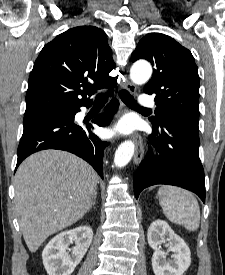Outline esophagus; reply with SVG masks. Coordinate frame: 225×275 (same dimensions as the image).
<instances>
[{"label": "esophagus", "instance_id": "34e87169", "mask_svg": "<svg viewBox=\"0 0 225 275\" xmlns=\"http://www.w3.org/2000/svg\"><path fill=\"white\" fill-rule=\"evenodd\" d=\"M124 87L130 91L131 93L136 92V87L133 83H131L128 79H126V82L124 84ZM135 142H136V151L134 154V163L139 164L142 160L143 157V152H144V144H143V139L139 135L134 136Z\"/></svg>", "mask_w": 225, "mask_h": 275}]
</instances>
